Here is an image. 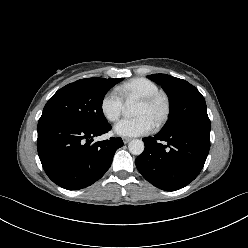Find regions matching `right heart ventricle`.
Instances as JSON below:
<instances>
[{"label": "right heart ventricle", "instance_id": "right-heart-ventricle-1", "mask_svg": "<svg viewBox=\"0 0 248 248\" xmlns=\"http://www.w3.org/2000/svg\"><path fill=\"white\" fill-rule=\"evenodd\" d=\"M117 91L122 99L128 102L140 100L161 92L156 83L143 77L133 78L119 85Z\"/></svg>", "mask_w": 248, "mask_h": 248}]
</instances>
